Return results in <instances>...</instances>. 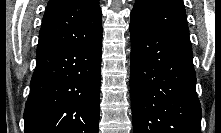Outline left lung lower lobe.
<instances>
[{
	"instance_id": "obj_1",
	"label": "left lung lower lobe",
	"mask_w": 221,
	"mask_h": 133,
	"mask_svg": "<svg viewBox=\"0 0 221 133\" xmlns=\"http://www.w3.org/2000/svg\"><path fill=\"white\" fill-rule=\"evenodd\" d=\"M134 133H201L188 36L129 25Z\"/></svg>"
}]
</instances>
